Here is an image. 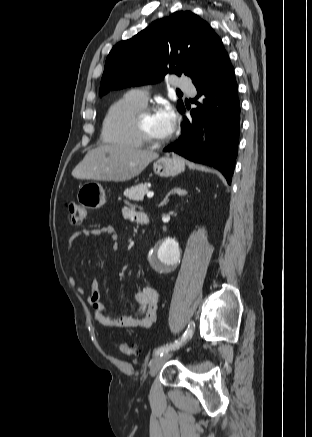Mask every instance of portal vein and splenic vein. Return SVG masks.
<instances>
[{"label": "portal vein and splenic vein", "mask_w": 312, "mask_h": 437, "mask_svg": "<svg viewBox=\"0 0 312 437\" xmlns=\"http://www.w3.org/2000/svg\"><path fill=\"white\" fill-rule=\"evenodd\" d=\"M153 196H154V193H153V192H148V193H147V197H148V198H152Z\"/></svg>", "instance_id": "obj_1"}]
</instances>
